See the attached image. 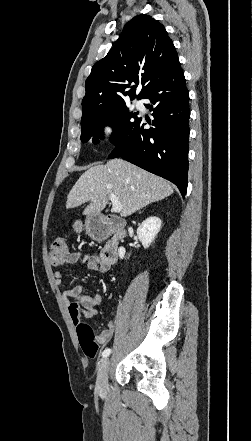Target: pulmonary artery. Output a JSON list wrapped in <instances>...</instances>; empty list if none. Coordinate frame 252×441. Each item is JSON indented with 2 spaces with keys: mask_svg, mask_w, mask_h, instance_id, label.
<instances>
[{
  "mask_svg": "<svg viewBox=\"0 0 252 441\" xmlns=\"http://www.w3.org/2000/svg\"><path fill=\"white\" fill-rule=\"evenodd\" d=\"M135 105L137 108H143V103L141 101H136Z\"/></svg>",
  "mask_w": 252,
  "mask_h": 441,
  "instance_id": "obj_1",
  "label": "pulmonary artery"
}]
</instances>
